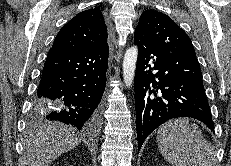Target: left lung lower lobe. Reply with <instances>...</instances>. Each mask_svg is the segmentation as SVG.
<instances>
[{"mask_svg":"<svg viewBox=\"0 0 231 166\" xmlns=\"http://www.w3.org/2000/svg\"><path fill=\"white\" fill-rule=\"evenodd\" d=\"M134 43L139 48L134 84L138 150L171 118L192 117L214 130L197 58L162 50L137 34Z\"/></svg>","mask_w":231,"mask_h":166,"instance_id":"1","label":"left lung lower lobe"}]
</instances>
